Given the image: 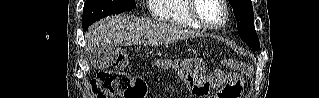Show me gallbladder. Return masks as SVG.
I'll list each match as a JSON object with an SVG mask.
<instances>
[{
    "mask_svg": "<svg viewBox=\"0 0 319 98\" xmlns=\"http://www.w3.org/2000/svg\"><path fill=\"white\" fill-rule=\"evenodd\" d=\"M114 52L110 46L100 45L91 51L90 61L96 69L108 67L113 62Z\"/></svg>",
    "mask_w": 319,
    "mask_h": 98,
    "instance_id": "obj_1",
    "label": "gallbladder"
}]
</instances>
